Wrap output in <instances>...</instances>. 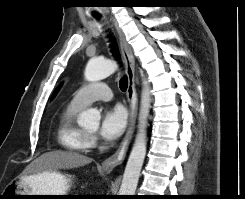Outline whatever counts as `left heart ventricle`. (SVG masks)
Returning a JSON list of instances; mask_svg holds the SVG:
<instances>
[{
	"label": "left heart ventricle",
	"mask_w": 245,
	"mask_h": 199,
	"mask_svg": "<svg viewBox=\"0 0 245 199\" xmlns=\"http://www.w3.org/2000/svg\"><path fill=\"white\" fill-rule=\"evenodd\" d=\"M95 131V129H92L90 132H94Z\"/></svg>",
	"instance_id": "left-heart-ventricle-1"
}]
</instances>
